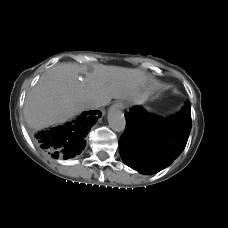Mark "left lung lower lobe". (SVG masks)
<instances>
[{"label": "left lung lower lobe", "instance_id": "left-lung-lower-lobe-1", "mask_svg": "<svg viewBox=\"0 0 228 228\" xmlns=\"http://www.w3.org/2000/svg\"><path fill=\"white\" fill-rule=\"evenodd\" d=\"M125 118L126 130L119 140L122 159L141 173H156L184 150L191 130V103L167 118L149 115L135 106Z\"/></svg>", "mask_w": 228, "mask_h": 228}]
</instances>
